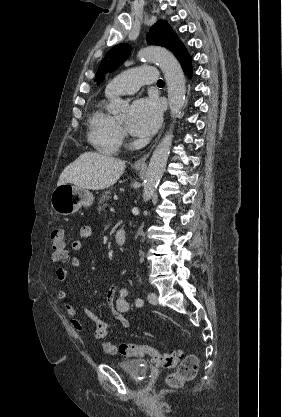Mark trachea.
I'll use <instances>...</instances> for the list:
<instances>
[{"label":"trachea","mask_w":282,"mask_h":417,"mask_svg":"<svg viewBox=\"0 0 282 417\" xmlns=\"http://www.w3.org/2000/svg\"><path fill=\"white\" fill-rule=\"evenodd\" d=\"M165 84V82L163 81V80H161V79H159L158 81H157V85H164Z\"/></svg>","instance_id":"trachea-1"}]
</instances>
